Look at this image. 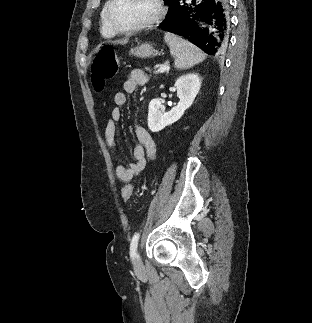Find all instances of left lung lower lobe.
Wrapping results in <instances>:
<instances>
[{"label": "left lung lower lobe", "instance_id": "0a47b994", "mask_svg": "<svg viewBox=\"0 0 312 323\" xmlns=\"http://www.w3.org/2000/svg\"><path fill=\"white\" fill-rule=\"evenodd\" d=\"M185 1H179L173 17L159 28L188 39L208 55H224L229 47L228 2Z\"/></svg>", "mask_w": 312, "mask_h": 323}]
</instances>
